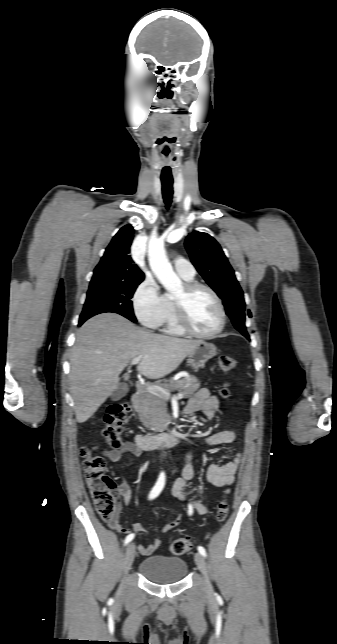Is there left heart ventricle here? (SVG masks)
I'll return each instance as SVG.
<instances>
[{
  "mask_svg": "<svg viewBox=\"0 0 337 644\" xmlns=\"http://www.w3.org/2000/svg\"><path fill=\"white\" fill-rule=\"evenodd\" d=\"M183 288L176 296H180ZM187 317L191 327L199 333H209L220 321L218 306L211 294L203 289L193 293L187 301Z\"/></svg>",
  "mask_w": 337,
  "mask_h": 644,
  "instance_id": "1",
  "label": "left heart ventricle"
}]
</instances>
